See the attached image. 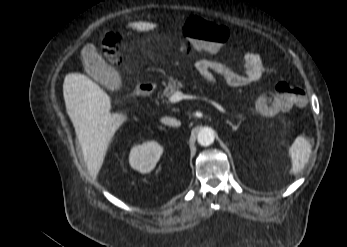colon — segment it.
<instances>
[{"label":"colon","mask_w":347,"mask_h":247,"mask_svg":"<svg viewBox=\"0 0 347 247\" xmlns=\"http://www.w3.org/2000/svg\"><path fill=\"white\" fill-rule=\"evenodd\" d=\"M183 36L187 42L197 50L207 53H217L230 40V31L215 22L190 17L184 24ZM120 38L116 33L105 35L100 48L102 57L113 65L121 62L119 50ZM304 90L295 83L281 82L273 92L259 97L256 110L264 116H275L279 111H289L302 107L304 104Z\"/></svg>","instance_id":"5ec220e1"}]
</instances>
